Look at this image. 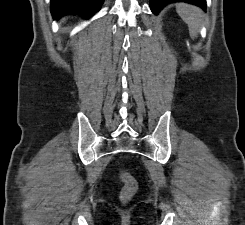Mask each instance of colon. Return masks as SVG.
Listing matches in <instances>:
<instances>
[{
	"instance_id": "obj_1",
	"label": "colon",
	"mask_w": 245,
	"mask_h": 225,
	"mask_svg": "<svg viewBox=\"0 0 245 225\" xmlns=\"http://www.w3.org/2000/svg\"><path fill=\"white\" fill-rule=\"evenodd\" d=\"M119 179L123 185L119 199L122 203L130 202L138 192V183L136 180L125 172L119 174Z\"/></svg>"
}]
</instances>
